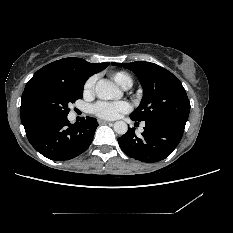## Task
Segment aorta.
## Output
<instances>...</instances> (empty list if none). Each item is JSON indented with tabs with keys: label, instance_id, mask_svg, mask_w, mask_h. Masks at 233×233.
Wrapping results in <instances>:
<instances>
[{
	"label": "aorta",
	"instance_id": "1",
	"mask_svg": "<svg viewBox=\"0 0 233 233\" xmlns=\"http://www.w3.org/2000/svg\"><path fill=\"white\" fill-rule=\"evenodd\" d=\"M96 95L102 100L120 99L122 97L121 90L112 82L101 79L95 87ZM114 131L119 135H124L128 131V126L124 121L114 123Z\"/></svg>",
	"mask_w": 233,
	"mask_h": 233
}]
</instances>
